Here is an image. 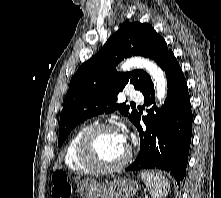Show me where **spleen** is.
<instances>
[{"mask_svg":"<svg viewBox=\"0 0 221 198\" xmlns=\"http://www.w3.org/2000/svg\"><path fill=\"white\" fill-rule=\"evenodd\" d=\"M141 178L150 191L152 198H163L170 189L169 181L160 173L154 171H144Z\"/></svg>","mask_w":221,"mask_h":198,"instance_id":"obj_1","label":"spleen"}]
</instances>
